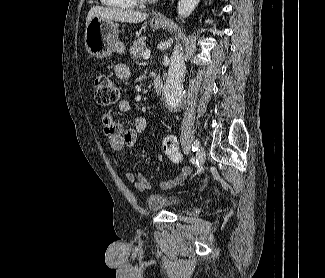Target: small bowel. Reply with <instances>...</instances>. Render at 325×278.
I'll list each match as a JSON object with an SVG mask.
<instances>
[{"instance_id":"obj_1","label":"small bowel","mask_w":325,"mask_h":278,"mask_svg":"<svg viewBox=\"0 0 325 278\" xmlns=\"http://www.w3.org/2000/svg\"><path fill=\"white\" fill-rule=\"evenodd\" d=\"M115 74L120 79H127L130 77V68L124 63H118L115 66ZM119 111L127 113L131 111V103L127 99H121L118 103ZM101 124L103 128V133L111 146L115 151H120L124 148L134 149L138 146L140 138L144 134L147 121L144 116H137L131 127L125 128L120 122L114 120L110 114H102ZM163 156L159 155L157 160L162 161ZM189 175V170L184 169L180 175L177 177L164 181L161 183L162 188H168L176 185L186 179ZM125 179L135 184V186L140 190H146L149 188V183L146 178L140 173L126 172Z\"/></svg>"}]
</instances>
